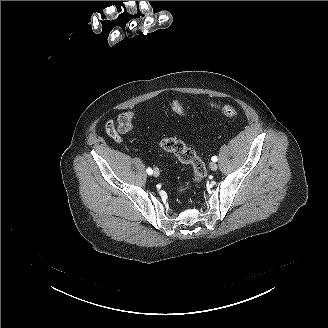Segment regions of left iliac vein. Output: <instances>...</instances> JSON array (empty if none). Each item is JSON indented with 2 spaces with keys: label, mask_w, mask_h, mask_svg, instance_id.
<instances>
[{
  "label": "left iliac vein",
  "mask_w": 328,
  "mask_h": 328,
  "mask_svg": "<svg viewBox=\"0 0 328 328\" xmlns=\"http://www.w3.org/2000/svg\"><path fill=\"white\" fill-rule=\"evenodd\" d=\"M210 168H211V170L215 171V170H217L218 166H217V164L215 162H212L210 164Z\"/></svg>",
  "instance_id": "left-iliac-vein-1"
}]
</instances>
